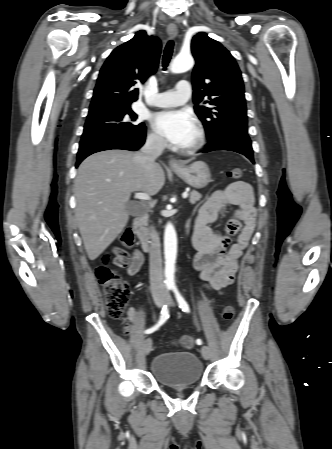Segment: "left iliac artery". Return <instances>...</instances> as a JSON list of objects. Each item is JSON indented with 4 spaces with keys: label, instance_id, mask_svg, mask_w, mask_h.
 Wrapping results in <instances>:
<instances>
[{
    "label": "left iliac artery",
    "instance_id": "obj_1",
    "mask_svg": "<svg viewBox=\"0 0 332 449\" xmlns=\"http://www.w3.org/2000/svg\"><path fill=\"white\" fill-rule=\"evenodd\" d=\"M171 289L173 290L174 294H175V298L179 304V307L182 309V311L189 313L190 312V308L189 305L187 303V301L184 299V297L180 294V292L178 291L176 286H172ZM196 343L198 345L202 344V340L201 339H197Z\"/></svg>",
    "mask_w": 332,
    "mask_h": 449
}]
</instances>
